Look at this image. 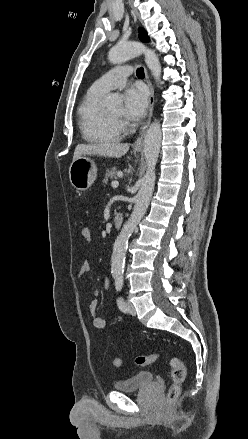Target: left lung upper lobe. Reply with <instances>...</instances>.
Masks as SVG:
<instances>
[{"instance_id":"left-lung-upper-lobe-1","label":"left lung upper lobe","mask_w":248,"mask_h":439,"mask_svg":"<svg viewBox=\"0 0 248 439\" xmlns=\"http://www.w3.org/2000/svg\"><path fill=\"white\" fill-rule=\"evenodd\" d=\"M139 38L144 41V42H148L149 38L147 36V33L143 30V29H139Z\"/></svg>"}]
</instances>
